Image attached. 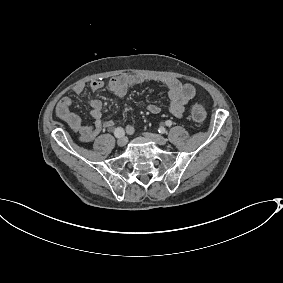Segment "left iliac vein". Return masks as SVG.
Masks as SVG:
<instances>
[{"label": "left iliac vein", "instance_id": "1", "mask_svg": "<svg viewBox=\"0 0 283 283\" xmlns=\"http://www.w3.org/2000/svg\"><path fill=\"white\" fill-rule=\"evenodd\" d=\"M145 136L159 145H164L166 143V139L161 135L153 134V133H145Z\"/></svg>", "mask_w": 283, "mask_h": 283}]
</instances>
